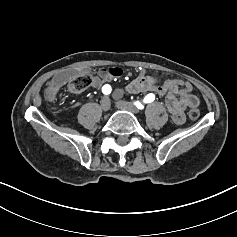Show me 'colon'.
<instances>
[{
  "instance_id": "1",
  "label": "colon",
  "mask_w": 237,
  "mask_h": 237,
  "mask_svg": "<svg viewBox=\"0 0 237 237\" xmlns=\"http://www.w3.org/2000/svg\"><path fill=\"white\" fill-rule=\"evenodd\" d=\"M92 78L87 74L79 75L75 78H73L69 85L68 90L71 93H80L83 90L87 89L89 86H91ZM200 112L199 110L194 107L189 111V116L191 119L196 120L199 118Z\"/></svg>"
}]
</instances>
